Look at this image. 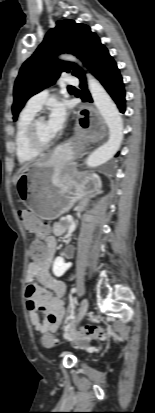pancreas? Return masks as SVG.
Masks as SVG:
<instances>
[{"label":"pancreas","instance_id":"cf45deb5","mask_svg":"<svg viewBox=\"0 0 155 413\" xmlns=\"http://www.w3.org/2000/svg\"><path fill=\"white\" fill-rule=\"evenodd\" d=\"M54 228H55V229H58V231L56 232L58 235H61V234L63 233V231H62V226H61V223H60V222L55 223Z\"/></svg>","mask_w":155,"mask_h":413}]
</instances>
